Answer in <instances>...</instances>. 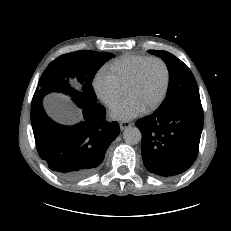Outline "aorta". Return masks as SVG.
<instances>
[{"label":"aorta","instance_id":"aorta-1","mask_svg":"<svg viewBox=\"0 0 231 231\" xmlns=\"http://www.w3.org/2000/svg\"><path fill=\"white\" fill-rule=\"evenodd\" d=\"M141 138V131L137 127H127L123 132V139L129 145L138 144Z\"/></svg>","mask_w":231,"mask_h":231}]
</instances>
